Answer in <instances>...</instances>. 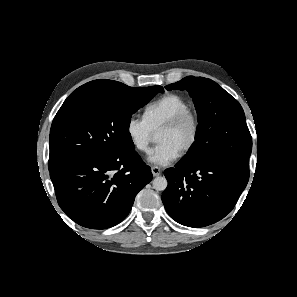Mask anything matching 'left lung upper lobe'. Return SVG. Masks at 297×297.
<instances>
[{"mask_svg": "<svg viewBox=\"0 0 297 297\" xmlns=\"http://www.w3.org/2000/svg\"><path fill=\"white\" fill-rule=\"evenodd\" d=\"M166 89L187 90L198 114L196 141L180 162L217 160L249 170L252 139L237 100L203 77L188 76Z\"/></svg>", "mask_w": 297, "mask_h": 297, "instance_id": "left-lung-upper-lobe-1", "label": "left lung upper lobe"}]
</instances>
